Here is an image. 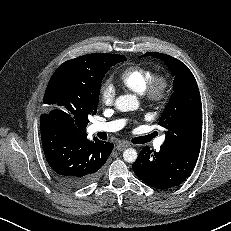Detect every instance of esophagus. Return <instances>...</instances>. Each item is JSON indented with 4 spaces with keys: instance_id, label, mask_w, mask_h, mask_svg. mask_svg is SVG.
I'll use <instances>...</instances> for the list:
<instances>
[{
    "instance_id": "esophagus-1",
    "label": "esophagus",
    "mask_w": 231,
    "mask_h": 231,
    "mask_svg": "<svg viewBox=\"0 0 231 231\" xmlns=\"http://www.w3.org/2000/svg\"><path fill=\"white\" fill-rule=\"evenodd\" d=\"M128 146H129L128 144H125V143H123V142H120V143L117 144L116 149H117L118 151H123V150H125Z\"/></svg>"
}]
</instances>
